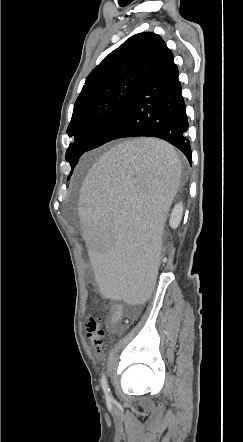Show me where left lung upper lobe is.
<instances>
[{"label":"left lung upper lobe","mask_w":243,"mask_h":442,"mask_svg":"<svg viewBox=\"0 0 243 442\" xmlns=\"http://www.w3.org/2000/svg\"><path fill=\"white\" fill-rule=\"evenodd\" d=\"M167 48L152 32L131 36L89 74L76 100L67 134L74 138L66 152L72 170L92 149L119 109L142 83Z\"/></svg>","instance_id":"1"}]
</instances>
